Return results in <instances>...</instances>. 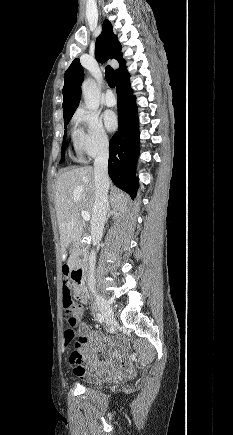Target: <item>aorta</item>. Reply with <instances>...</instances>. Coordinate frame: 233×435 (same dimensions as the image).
Returning a JSON list of instances; mask_svg holds the SVG:
<instances>
[{
	"mask_svg": "<svg viewBox=\"0 0 233 435\" xmlns=\"http://www.w3.org/2000/svg\"><path fill=\"white\" fill-rule=\"evenodd\" d=\"M82 94L87 109L97 110L100 103V89L92 78H87L82 84Z\"/></svg>",
	"mask_w": 233,
	"mask_h": 435,
	"instance_id": "1",
	"label": "aorta"
}]
</instances>
